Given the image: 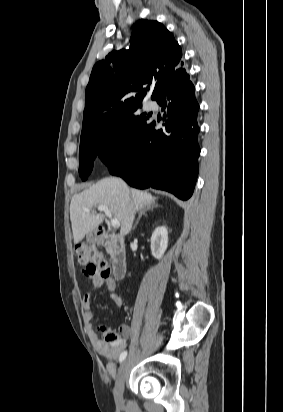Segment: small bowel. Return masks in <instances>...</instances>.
Masks as SVG:
<instances>
[{"mask_svg": "<svg viewBox=\"0 0 283 412\" xmlns=\"http://www.w3.org/2000/svg\"><path fill=\"white\" fill-rule=\"evenodd\" d=\"M90 279L92 281V289L88 291L83 299H82V317L84 321V326L85 330L87 332V335L89 336L92 344L94 347L99 351L101 355H103L106 360V371L110 376H115L116 374V361L118 357L122 354V351L124 350L126 344H127V339L131 334V328L130 326L126 324H122L119 327L120 334L123 338L121 344L119 347L111 350L107 347V345L102 342L97 334L95 333L93 329V320L95 318V313L92 309L91 306V300H92V291L94 289H97L101 287L102 285H105L107 289L111 292L110 293V299L111 301L121 307L123 305V300L121 296L115 292L116 289V283L115 281L108 277V278H103L97 275H89Z\"/></svg>", "mask_w": 283, "mask_h": 412, "instance_id": "1", "label": "small bowel"}]
</instances>
